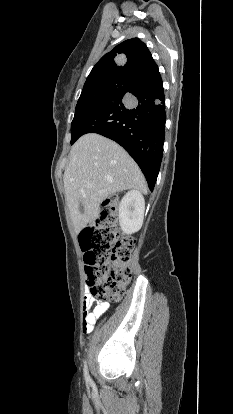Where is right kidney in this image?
<instances>
[{
    "label": "right kidney",
    "mask_w": 233,
    "mask_h": 414,
    "mask_svg": "<svg viewBox=\"0 0 233 414\" xmlns=\"http://www.w3.org/2000/svg\"><path fill=\"white\" fill-rule=\"evenodd\" d=\"M145 201L139 190L125 194L119 204V224L125 234L137 232L144 218Z\"/></svg>",
    "instance_id": "ca27d5eb"
}]
</instances>
